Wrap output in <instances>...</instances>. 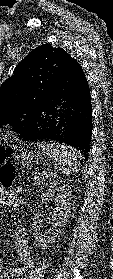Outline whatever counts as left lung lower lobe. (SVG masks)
Listing matches in <instances>:
<instances>
[{"mask_svg": "<svg viewBox=\"0 0 113 279\" xmlns=\"http://www.w3.org/2000/svg\"><path fill=\"white\" fill-rule=\"evenodd\" d=\"M92 135L89 85L82 67L70 58L36 105L23 141L57 142L77 148L88 160Z\"/></svg>", "mask_w": 113, "mask_h": 279, "instance_id": "left-lung-lower-lobe-1", "label": "left lung lower lobe"}]
</instances>
